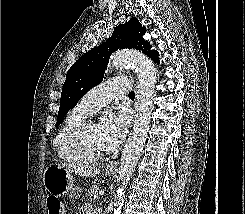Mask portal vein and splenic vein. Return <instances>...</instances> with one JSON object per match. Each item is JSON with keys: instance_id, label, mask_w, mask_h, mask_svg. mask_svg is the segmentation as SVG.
I'll return each mask as SVG.
<instances>
[{"instance_id": "portal-vein-and-splenic-vein-1", "label": "portal vein and splenic vein", "mask_w": 245, "mask_h": 214, "mask_svg": "<svg viewBox=\"0 0 245 214\" xmlns=\"http://www.w3.org/2000/svg\"><path fill=\"white\" fill-rule=\"evenodd\" d=\"M104 194V191H99V195L102 196Z\"/></svg>"}]
</instances>
